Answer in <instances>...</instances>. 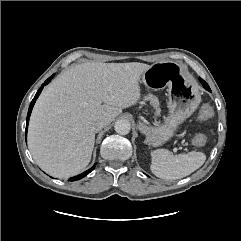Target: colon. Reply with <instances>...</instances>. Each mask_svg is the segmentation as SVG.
Listing matches in <instances>:
<instances>
[{
	"label": "colon",
	"mask_w": 241,
	"mask_h": 241,
	"mask_svg": "<svg viewBox=\"0 0 241 241\" xmlns=\"http://www.w3.org/2000/svg\"><path fill=\"white\" fill-rule=\"evenodd\" d=\"M213 116V109L211 106L205 104L202 105L198 111V119L200 121H206L210 119ZM206 137L203 134H198L197 136L194 137L193 143L196 146H203L206 144Z\"/></svg>",
	"instance_id": "1"
}]
</instances>
